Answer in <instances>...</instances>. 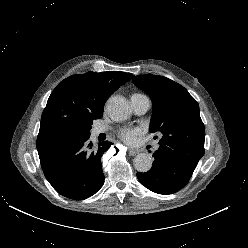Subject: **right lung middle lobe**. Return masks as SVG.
Returning <instances> with one entry per match:
<instances>
[{
    "instance_id": "dd1d6c3e",
    "label": "right lung middle lobe",
    "mask_w": 248,
    "mask_h": 248,
    "mask_svg": "<svg viewBox=\"0 0 248 248\" xmlns=\"http://www.w3.org/2000/svg\"><path fill=\"white\" fill-rule=\"evenodd\" d=\"M90 129H91V126H89L88 128H86L85 130L90 131Z\"/></svg>"
}]
</instances>
